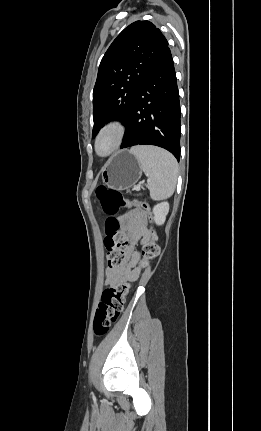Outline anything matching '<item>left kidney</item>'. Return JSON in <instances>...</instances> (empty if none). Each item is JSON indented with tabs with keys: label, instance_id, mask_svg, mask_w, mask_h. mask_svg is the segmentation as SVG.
<instances>
[{
	"label": "left kidney",
	"instance_id": "obj_1",
	"mask_svg": "<svg viewBox=\"0 0 261 431\" xmlns=\"http://www.w3.org/2000/svg\"><path fill=\"white\" fill-rule=\"evenodd\" d=\"M169 212L168 202H161L153 207L154 221L157 225L164 224L166 216Z\"/></svg>",
	"mask_w": 261,
	"mask_h": 431
}]
</instances>
